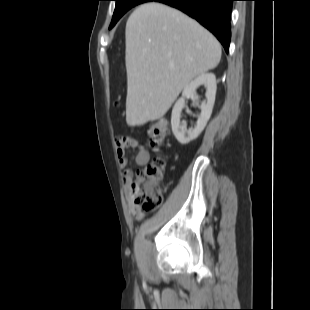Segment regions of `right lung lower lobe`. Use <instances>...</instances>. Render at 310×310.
Listing matches in <instances>:
<instances>
[{"mask_svg":"<svg viewBox=\"0 0 310 310\" xmlns=\"http://www.w3.org/2000/svg\"><path fill=\"white\" fill-rule=\"evenodd\" d=\"M181 10L212 32L226 52L231 39L232 2L235 0H150Z\"/></svg>","mask_w":310,"mask_h":310,"instance_id":"1","label":"right lung lower lobe"}]
</instances>
